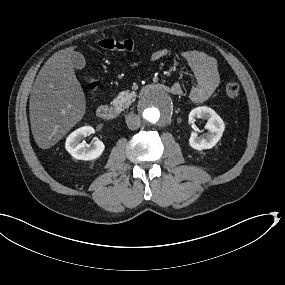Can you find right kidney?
<instances>
[{
	"instance_id": "right-kidney-1",
	"label": "right kidney",
	"mask_w": 285,
	"mask_h": 285,
	"mask_svg": "<svg viewBox=\"0 0 285 285\" xmlns=\"http://www.w3.org/2000/svg\"><path fill=\"white\" fill-rule=\"evenodd\" d=\"M94 132L92 127H81L72 132L66 140V150L77 160L93 161L98 159L105 150V145L99 139H95L94 145L89 146L85 142L79 141L85 136L88 137Z\"/></svg>"
}]
</instances>
